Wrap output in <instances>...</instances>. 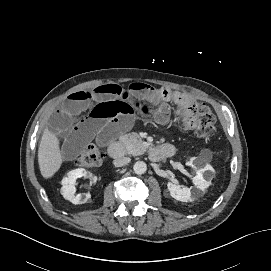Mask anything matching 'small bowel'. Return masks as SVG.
<instances>
[{
  "label": "small bowel",
  "mask_w": 271,
  "mask_h": 271,
  "mask_svg": "<svg viewBox=\"0 0 271 271\" xmlns=\"http://www.w3.org/2000/svg\"><path fill=\"white\" fill-rule=\"evenodd\" d=\"M187 97L177 91L157 89L140 82L127 88L105 84L91 90L76 91L52 115L49 131L59 138L64 158L71 160L94 137L104 143L129 130L136 112L151 115L156 122L165 123L172 115L183 111V100ZM169 103H174L176 108L172 110ZM148 104L156 108L152 111ZM84 112L88 113L87 116L78 120ZM161 148L168 156L175 152L170 143L163 144Z\"/></svg>",
  "instance_id": "c3829d8e"
}]
</instances>
